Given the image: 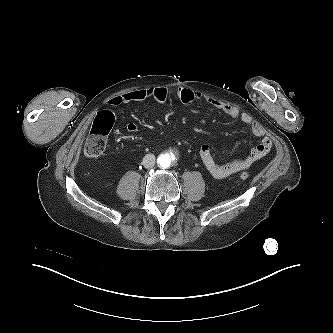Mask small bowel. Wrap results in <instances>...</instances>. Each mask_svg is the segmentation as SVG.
Segmentation results:
<instances>
[{
  "mask_svg": "<svg viewBox=\"0 0 333 333\" xmlns=\"http://www.w3.org/2000/svg\"><path fill=\"white\" fill-rule=\"evenodd\" d=\"M168 97V88L153 87L146 89H138L115 96L111 98L107 102V104L116 107L129 102L145 100H153L156 103H164L168 99ZM177 97L181 101V103L187 106L193 105L200 99H204L210 105L224 112L226 115L241 120V122L250 129L251 133L255 137L260 138L259 144L251 150L248 156L224 164H220L216 161L209 145H202L199 151V157L207 172L214 178L223 179L247 170L257 161L266 156L272 149L271 139L266 135L263 127L258 122H256L248 113L241 112L237 108L227 103L221 102L208 96H204L201 93L187 87H180L177 91ZM126 129L127 131L134 133L139 130V127L136 123L130 122L126 125Z\"/></svg>",
  "mask_w": 333,
  "mask_h": 333,
  "instance_id": "small-bowel-1",
  "label": "small bowel"
}]
</instances>
